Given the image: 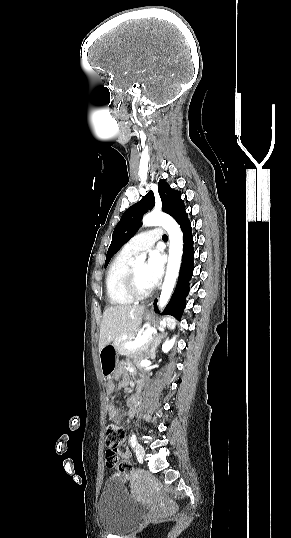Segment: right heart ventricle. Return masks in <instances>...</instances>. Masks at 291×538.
I'll use <instances>...</instances> for the list:
<instances>
[{"mask_svg": "<svg viewBox=\"0 0 291 538\" xmlns=\"http://www.w3.org/2000/svg\"><path fill=\"white\" fill-rule=\"evenodd\" d=\"M133 255L123 248L110 263L106 276V292L109 302L113 305H128L134 301L127 294L124 285L125 276L130 267L129 261Z\"/></svg>", "mask_w": 291, "mask_h": 538, "instance_id": "right-heart-ventricle-1", "label": "right heart ventricle"}]
</instances>
